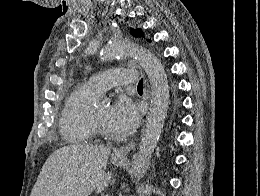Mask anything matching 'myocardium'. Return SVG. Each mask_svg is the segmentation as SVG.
<instances>
[{
    "instance_id": "f54148a6",
    "label": "myocardium",
    "mask_w": 260,
    "mask_h": 196,
    "mask_svg": "<svg viewBox=\"0 0 260 196\" xmlns=\"http://www.w3.org/2000/svg\"><path fill=\"white\" fill-rule=\"evenodd\" d=\"M89 122L91 127L94 129V131H96L97 133H99L100 135L106 137V138H110V133L109 131H107L102 125L99 124V122L96 119L95 116V112L94 109L92 108L91 113H90V118H89Z\"/></svg>"
}]
</instances>
